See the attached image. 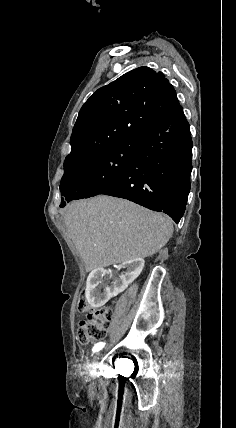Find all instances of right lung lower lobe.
<instances>
[{
  "label": "right lung lower lobe",
  "instance_id": "right-lung-lower-lobe-1",
  "mask_svg": "<svg viewBox=\"0 0 236 428\" xmlns=\"http://www.w3.org/2000/svg\"><path fill=\"white\" fill-rule=\"evenodd\" d=\"M136 140L133 160L95 195L128 199L178 223L186 208L192 170V140L182 107Z\"/></svg>",
  "mask_w": 236,
  "mask_h": 428
}]
</instances>
